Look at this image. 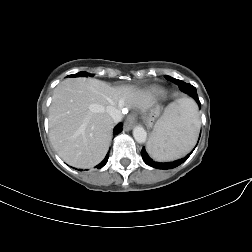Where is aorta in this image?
I'll list each match as a JSON object with an SVG mask.
<instances>
[{"label": "aorta", "mask_w": 252, "mask_h": 252, "mask_svg": "<svg viewBox=\"0 0 252 252\" xmlns=\"http://www.w3.org/2000/svg\"><path fill=\"white\" fill-rule=\"evenodd\" d=\"M133 137L134 139L138 142V143H144L146 141L147 138V133L144 130V128L140 127V126H136L133 129Z\"/></svg>", "instance_id": "1"}]
</instances>
